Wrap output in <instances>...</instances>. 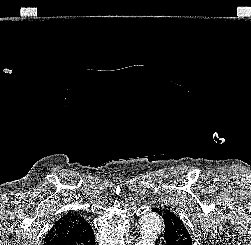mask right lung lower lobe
<instances>
[{
    "label": "right lung lower lobe",
    "mask_w": 251,
    "mask_h": 245,
    "mask_svg": "<svg viewBox=\"0 0 251 245\" xmlns=\"http://www.w3.org/2000/svg\"><path fill=\"white\" fill-rule=\"evenodd\" d=\"M44 245H95L94 232L91 228L79 236L48 240Z\"/></svg>",
    "instance_id": "98d812e1"
}]
</instances>
